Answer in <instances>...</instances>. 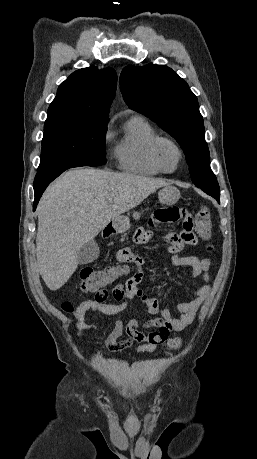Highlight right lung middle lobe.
Masks as SVG:
<instances>
[{"mask_svg": "<svg viewBox=\"0 0 257 459\" xmlns=\"http://www.w3.org/2000/svg\"><path fill=\"white\" fill-rule=\"evenodd\" d=\"M107 123H94L64 116H47L37 171L80 164L99 166L107 162Z\"/></svg>", "mask_w": 257, "mask_h": 459, "instance_id": "dd1d6c3e", "label": "right lung middle lobe"}]
</instances>
